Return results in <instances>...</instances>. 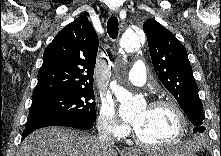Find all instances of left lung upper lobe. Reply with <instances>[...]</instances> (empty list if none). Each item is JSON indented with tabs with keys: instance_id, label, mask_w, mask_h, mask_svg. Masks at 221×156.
I'll use <instances>...</instances> for the list:
<instances>
[{
	"instance_id": "obj_1",
	"label": "left lung upper lobe",
	"mask_w": 221,
	"mask_h": 156,
	"mask_svg": "<svg viewBox=\"0 0 221 156\" xmlns=\"http://www.w3.org/2000/svg\"><path fill=\"white\" fill-rule=\"evenodd\" d=\"M143 28L154 70L160 81L194 124L193 133L204 132L203 105L185 47L173 33L154 19H148Z\"/></svg>"
}]
</instances>
